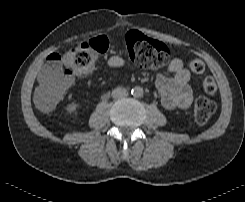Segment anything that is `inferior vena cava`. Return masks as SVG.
I'll list each match as a JSON object with an SVG mask.
<instances>
[{"instance_id": "obj_1", "label": "inferior vena cava", "mask_w": 245, "mask_h": 202, "mask_svg": "<svg viewBox=\"0 0 245 202\" xmlns=\"http://www.w3.org/2000/svg\"><path fill=\"white\" fill-rule=\"evenodd\" d=\"M128 95V92L125 88L117 87L112 91V97L115 99L122 98Z\"/></svg>"}]
</instances>
